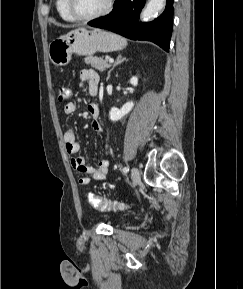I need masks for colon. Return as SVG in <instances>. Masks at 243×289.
Wrapping results in <instances>:
<instances>
[{"label": "colon", "mask_w": 243, "mask_h": 289, "mask_svg": "<svg viewBox=\"0 0 243 289\" xmlns=\"http://www.w3.org/2000/svg\"><path fill=\"white\" fill-rule=\"evenodd\" d=\"M70 95L71 90L68 87H61L59 89L58 99L60 102L66 101L70 97ZM88 203L92 207L100 211L123 210L127 208L124 203L103 199L92 193L88 195Z\"/></svg>", "instance_id": "obj_1"}]
</instances>
